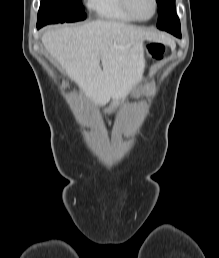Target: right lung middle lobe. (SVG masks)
<instances>
[{
    "instance_id": "obj_1",
    "label": "right lung middle lobe",
    "mask_w": 219,
    "mask_h": 258,
    "mask_svg": "<svg viewBox=\"0 0 219 258\" xmlns=\"http://www.w3.org/2000/svg\"><path fill=\"white\" fill-rule=\"evenodd\" d=\"M86 18L81 0H41L38 26L51 23L76 22Z\"/></svg>"
}]
</instances>
